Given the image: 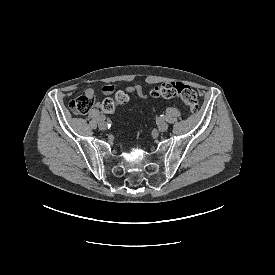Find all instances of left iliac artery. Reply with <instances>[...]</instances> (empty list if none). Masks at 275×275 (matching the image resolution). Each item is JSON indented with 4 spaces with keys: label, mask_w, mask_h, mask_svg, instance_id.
<instances>
[{
    "label": "left iliac artery",
    "mask_w": 275,
    "mask_h": 275,
    "mask_svg": "<svg viewBox=\"0 0 275 275\" xmlns=\"http://www.w3.org/2000/svg\"><path fill=\"white\" fill-rule=\"evenodd\" d=\"M160 118H161L162 120H165V116H164V115H161Z\"/></svg>",
    "instance_id": "44dca946"
}]
</instances>
